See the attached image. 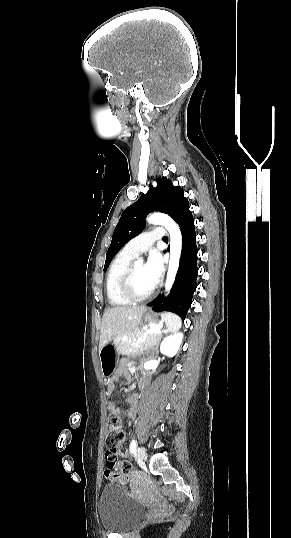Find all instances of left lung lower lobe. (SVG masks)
<instances>
[{
    "mask_svg": "<svg viewBox=\"0 0 291 538\" xmlns=\"http://www.w3.org/2000/svg\"><path fill=\"white\" fill-rule=\"evenodd\" d=\"M182 233V252L180 267L175 282L167 298L157 296L148 306H152L156 312L170 311L185 319L192 303V296L196 289L197 246L194 219L191 211L184 215L178 222Z\"/></svg>",
    "mask_w": 291,
    "mask_h": 538,
    "instance_id": "0a47b994",
    "label": "left lung lower lobe"
}]
</instances>
